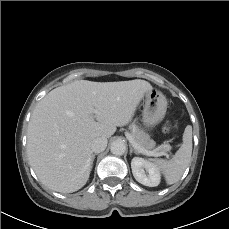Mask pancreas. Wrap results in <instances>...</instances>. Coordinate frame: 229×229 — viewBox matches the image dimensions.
Listing matches in <instances>:
<instances>
[{"label":"pancreas","instance_id":"1","mask_svg":"<svg viewBox=\"0 0 229 229\" xmlns=\"http://www.w3.org/2000/svg\"><path fill=\"white\" fill-rule=\"evenodd\" d=\"M130 130H131L130 133L131 136L142 148L146 150L152 148L151 143H153L154 141L151 140L143 130L139 129V127L136 126L135 124H132L130 126ZM170 149H171L170 145L163 144L159 146L157 149H155V151L166 152L169 151Z\"/></svg>","mask_w":229,"mask_h":229}]
</instances>
